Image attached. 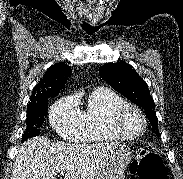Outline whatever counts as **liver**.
I'll use <instances>...</instances> for the list:
<instances>
[{
    "label": "liver",
    "instance_id": "1",
    "mask_svg": "<svg viewBox=\"0 0 183 179\" xmlns=\"http://www.w3.org/2000/svg\"><path fill=\"white\" fill-rule=\"evenodd\" d=\"M115 143L79 145L39 136L19 148L11 179H94Z\"/></svg>",
    "mask_w": 183,
    "mask_h": 179
}]
</instances>
